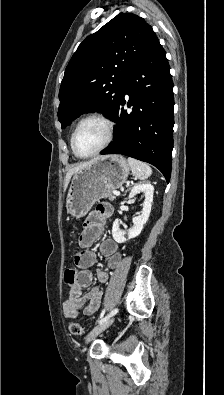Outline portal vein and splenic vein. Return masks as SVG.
Returning a JSON list of instances; mask_svg holds the SVG:
<instances>
[{
	"label": "portal vein and splenic vein",
	"instance_id": "obj_1",
	"mask_svg": "<svg viewBox=\"0 0 224 395\" xmlns=\"http://www.w3.org/2000/svg\"><path fill=\"white\" fill-rule=\"evenodd\" d=\"M113 194L116 195V196H119L120 192L119 191H113Z\"/></svg>",
	"mask_w": 224,
	"mask_h": 395
}]
</instances>
